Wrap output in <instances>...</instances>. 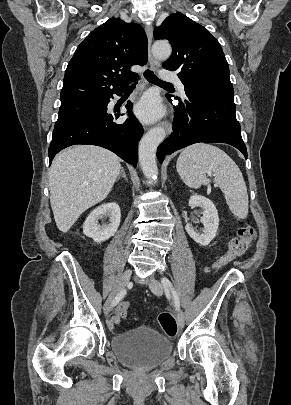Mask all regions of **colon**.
<instances>
[{
	"mask_svg": "<svg viewBox=\"0 0 291 405\" xmlns=\"http://www.w3.org/2000/svg\"><path fill=\"white\" fill-rule=\"evenodd\" d=\"M254 237V229L250 225L240 227L236 230L235 236L229 241L227 251L219 257L213 264L212 269L216 270L228 265L235 259L242 256L249 248ZM130 309L129 301L121 302L111 315V319L115 322H121L127 316ZM158 322L163 332L168 337H175L177 334V323L174 316L163 311L158 315Z\"/></svg>",
	"mask_w": 291,
	"mask_h": 405,
	"instance_id": "obj_1",
	"label": "colon"
}]
</instances>
